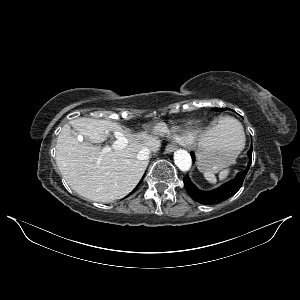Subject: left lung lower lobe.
<instances>
[{"mask_svg": "<svg viewBox=\"0 0 300 300\" xmlns=\"http://www.w3.org/2000/svg\"><path fill=\"white\" fill-rule=\"evenodd\" d=\"M247 155L250 159L247 168L239 172L233 180L211 191H201L191 182L188 175H186L184 178V185L189 196L198 203L205 205L217 204L233 196L241 188L244 178L250 168L252 160V147L248 151ZM191 156L194 161L195 156L193 152H191Z\"/></svg>", "mask_w": 300, "mask_h": 300, "instance_id": "obj_1", "label": "left lung lower lobe"}]
</instances>
